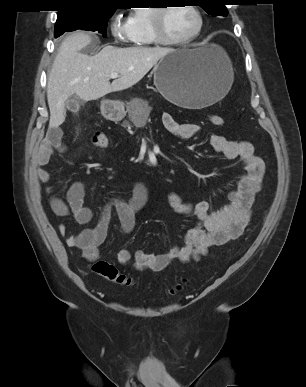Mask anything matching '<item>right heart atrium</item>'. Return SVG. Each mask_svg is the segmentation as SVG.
Wrapping results in <instances>:
<instances>
[{
	"mask_svg": "<svg viewBox=\"0 0 306 387\" xmlns=\"http://www.w3.org/2000/svg\"><path fill=\"white\" fill-rule=\"evenodd\" d=\"M112 36L119 42H126L129 40V29L127 23H122L115 19L110 25Z\"/></svg>",
	"mask_w": 306,
	"mask_h": 387,
	"instance_id": "1",
	"label": "right heart atrium"
}]
</instances>
